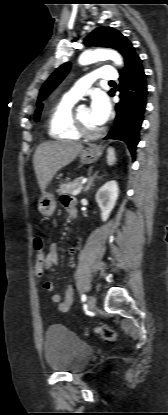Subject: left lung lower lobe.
Instances as JSON below:
<instances>
[{"mask_svg": "<svg viewBox=\"0 0 168 415\" xmlns=\"http://www.w3.org/2000/svg\"><path fill=\"white\" fill-rule=\"evenodd\" d=\"M120 82L118 90L121 101L116 106V122L104 139L124 141L134 159L147 96L146 75L138 55L121 72ZM114 94L115 90L112 89L110 96Z\"/></svg>", "mask_w": 168, "mask_h": 415, "instance_id": "1", "label": "left lung lower lobe"}]
</instances>
